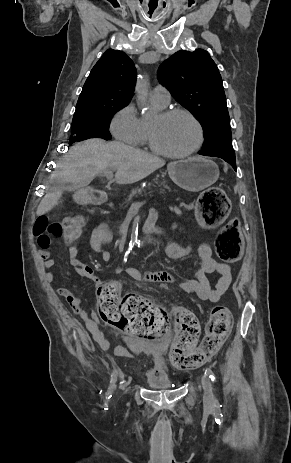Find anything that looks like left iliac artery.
I'll return each mask as SVG.
<instances>
[{"label":"left iliac artery","mask_w":291,"mask_h":463,"mask_svg":"<svg viewBox=\"0 0 291 463\" xmlns=\"http://www.w3.org/2000/svg\"><path fill=\"white\" fill-rule=\"evenodd\" d=\"M205 374H207L209 376L211 381L214 382L216 380L215 375H214L213 371L210 368H208V367L206 368ZM215 401L217 402V400H215Z\"/></svg>","instance_id":"obj_1"}]
</instances>
